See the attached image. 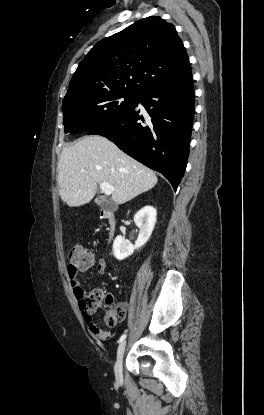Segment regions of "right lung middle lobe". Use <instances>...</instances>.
Instances as JSON below:
<instances>
[{"label":"right lung middle lobe","instance_id":"right-lung-middle-lobe-1","mask_svg":"<svg viewBox=\"0 0 264 415\" xmlns=\"http://www.w3.org/2000/svg\"><path fill=\"white\" fill-rule=\"evenodd\" d=\"M138 95L119 91L87 94L63 101L65 133H79L103 125L136 104Z\"/></svg>","mask_w":264,"mask_h":415}]
</instances>
